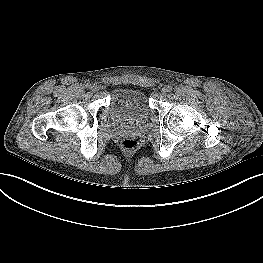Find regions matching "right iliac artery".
<instances>
[{"label": "right iliac artery", "instance_id": "right-iliac-artery-1", "mask_svg": "<svg viewBox=\"0 0 263 263\" xmlns=\"http://www.w3.org/2000/svg\"><path fill=\"white\" fill-rule=\"evenodd\" d=\"M86 87L87 88H91L92 86H91V84H87Z\"/></svg>", "mask_w": 263, "mask_h": 263}]
</instances>
